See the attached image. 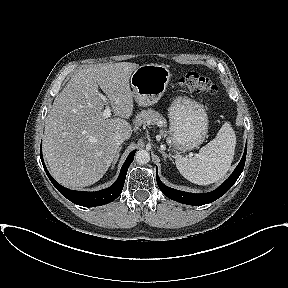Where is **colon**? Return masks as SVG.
<instances>
[{
  "mask_svg": "<svg viewBox=\"0 0 288 288\" xmlns=\"http://www.w3.org/2000/svg\"><path fill=\"white\" fill-rule=\"evenodd\" d=\"M178 84L185 90L191 92L204 93L214 96L218 92V87L207 77L198 73L190 72L180 77Z\"/></svg>",
  "mask_w": 288,
  "mask_h": 288,
  "instance_id": "colon-1",
  "label": "colon"
}]
</instances>
